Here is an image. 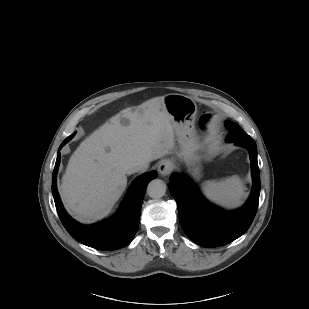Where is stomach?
Returning <instances> with one entry per match:
<instances>
[{
	"label": "stomach",
	"mask_w": 309,
	"mask_h": 309,
	"mask_svg": "<svg viewBox=\"0 0 309 309\" xmlns=\"http://www.w3.org/2000/svg\"><path fill=\"white\" fill-rule=\"evenodd\" d=\"M165 108L171 116L179 144L177 156L191 166V174L200 176L199 156L197 155V136L195 119L197 105L195 101L182 94H168L164 97Z\"/></svg>",
	"instance_id": "obj_1"
}]
</instances>
